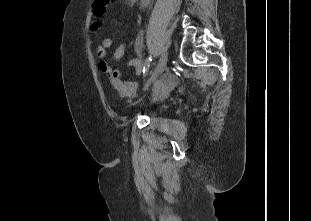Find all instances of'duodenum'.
<instances>
[{"label":"duodenum","mask_w":311,"mask_h":221,"mask_svg":"<svg viewBox=\"0 0 311 221\" xmlns=\"http://www.w3.org/2000/svg\"><path fill=\"white\" fill-rule=\"evenodd\" d=\"M139 2L142 6H145L150 2V0H139Z\"/></svg>","instance_id":"obj_1"}]
</instances>
